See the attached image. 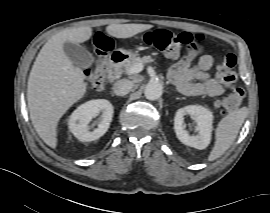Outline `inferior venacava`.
<instances>
[{
	"label": "inferior vena cava",
	"instance_id": "602c4592",
	"mask_svg": "<svg viewBox=\"0 0 270 213\" xmlns=\"http://www.w3.org/2000/svg\"><path fill=\"white\" fill-rule=\"evenodd\" d=\"M132 82L129 80H119L113 86V93L117 96H124L132 89Z\"/></svg>",
	"mask_w": 270,
	"mask_h": 213
}]
</instances>
